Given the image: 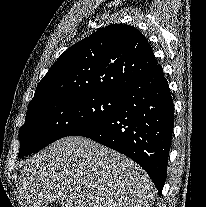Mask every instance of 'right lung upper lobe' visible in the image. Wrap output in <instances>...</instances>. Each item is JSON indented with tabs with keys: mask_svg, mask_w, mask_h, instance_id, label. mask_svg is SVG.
Returning <instances> with one entry per match:
<instances>
[{
	"mask_svg": "<svg viewBox=\"0 0 206 207\" xmlns=\"http://www.w3.org/2000/svg\"><path fill=\"white\" fill-rule=\"evenodd\" d=\"M157 65L150 44L138 29L109 25L58 58L38 84L28 108L62 96L122 94Z\"/></svg>",
	"mask_w": 206,
	"mask_h": 207,
	"instance_id": "right-lung-upper-lobe-1",
	"label": "right lung upper lobe"
}]
</instances>
